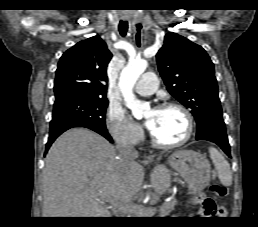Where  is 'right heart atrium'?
I'll return each instance as SVG.
<instances>
[{
	"instance_id": "right-heart-atrium-1",
	"label": "right heart atrium",
	"mask_w": 258,
	"mask_h": 227,
	"mask_svg": "<svg viewBox=\"0 0 258 227\" xmlns=\"http://www.w3.org/2000/svg\"><path fill=\"white\" fill-rule=\"evenodd\" d=\"M106 125L112 138L121 144L134 146L143 138L142 129L127 117L121 107H110L107 112Z\"/></svg>"
}]
</instances>
